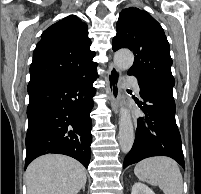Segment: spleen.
<instances>
[{
    "label": "spleen",
    "instance_id": "1",
    "mask_svg": "<svg viewBox=\"0 0 201 194\" xmlns=\"http://www.w3.org/2000/svg\"><path fill=\"white\" fill-rule=\"evenodd\" d=\"M136 177L152 186H159L164 194H182L183 179L178 164L168 157H152L134 168Z\"/></svg>",
    "mask_w": 201,
    "mask_h": 194
}]
</instances>
